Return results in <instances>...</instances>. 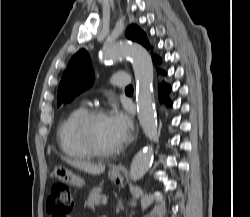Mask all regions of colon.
<instances>
[{
	"instance_id": "colon-1",
	"label": "colon",
	"mask_w": 250,
	"mask_h": 217,
	"mask_svg": "<svg viewBox=\"0 0 250 217\" xmlns=\"http://www.w3.org/2000/svg\"><path fill=\"white\" fill-rule=\"evenodd\" d=\"M73 198L69 187L63 183L54 184L46 201V210L50 217H70Z\"/></svg>"
}]
</instances>
